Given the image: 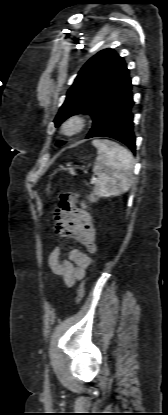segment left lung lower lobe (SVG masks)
I'll return each mask as SVG.
<instances>
[{
  "mask_svg": "<svg viewBox=\"0 0 168 415\" xmlns=\"http://www.w3.org/2000/svg\"><path fill=\"white\" fill-rule=\"evenodd\" d=\"M130 83L118 93L94 120L93 127L86 138L110 137L127 145L134 153L136 150L133 132V95Z\"/></svg>",
  "mask_w": 168,
  "mask_h": 415,
  "instance_id": "obj_1",
  "label": "left lung lower lobe"
}]
</instances>
